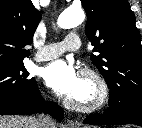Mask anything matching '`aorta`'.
<instances>
[{
    "mask_svg": "<svg viewBox=\"0 0 142 128\" xmlns=\"http://www.w3.org/2000/svg\"><path fill=\"white\" fill-rule=\"evenodd\" d=\"M85 19L81 8H67L58 17L57 24L60 28L70 29L81 24Z\"/></svg>",
    "mask_w": 142,
    "mask_h": 128,
    "instance_id": "1",
    "label": "aorta"
}]
</instances>
